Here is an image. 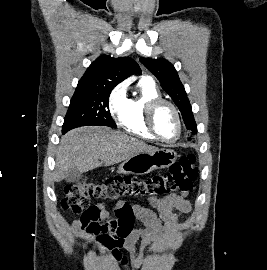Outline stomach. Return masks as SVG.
<instances>
[{"instance_id": "1", "label": "stomach", "mask_w": 267, "mask_h": 270, "mask_svg": "<svg viewBox=\"0 0 267 270\" xmlns=\"http://www.w3.org/2000/svg\"><path fill=\"white\" fill-rule=\"evenodd\" d=\"M176 158L177 153L169 148L142 152L120 164L118 172L122 174H148L153 170L171 166Z\"/></svg>"}]
</instances>
